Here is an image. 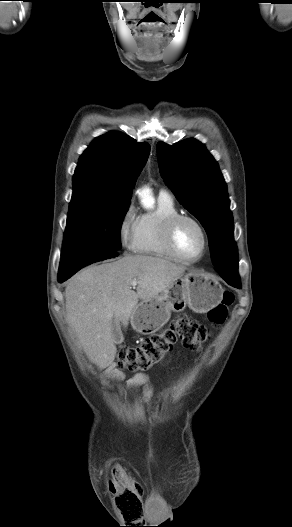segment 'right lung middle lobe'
<instances>
[{
	"mask_svg": "<svg viewBox=\"0 0 292 527\" xmlns=\"http://www.w3.org/2000/svg\"><path fill=\"white\" fill-rule=\"evenodd\" d=\"M129 202L96 190L73 189L62 252L120 250L121 224Z\"/></svg>",
	"mask_w": 292,
	"mask_h": 527,
	"instance_id": "1",
	"label": "right lung middle lobe"
}]
</instances>
